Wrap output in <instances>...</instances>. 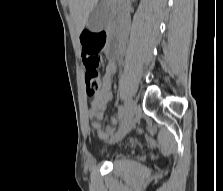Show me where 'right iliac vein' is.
I'll return each instance as SVG.
<instances>
[{"label": "right iliac vein", "instance_id": "1", "mask_svg": "<svg viewBox=\"0 0 223 191\" xmlns=\"http://www.w3.org/2000/svg\"><path fill=\"white\" fill-rule=\"evenodd\" d=\"M125 107H126V112H125L123 123L120 126V129L116 133V135L113 138H111L110 143H112V144L123 139L125 137V135L131 129L134 114L136 111V104L131 98L126 97L125 98Z\"/></svg>", "mask_w": 223, "mask_h": 191}]
</instances>
